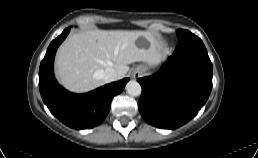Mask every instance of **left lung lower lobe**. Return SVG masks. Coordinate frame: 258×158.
<instances>
[{"instance_id":"left-lung-lower-lobe-1","label":"left lung lower lobe","mask_w":258,"mask_h":158,"mask_svg":"<svg viewBox=\"0 0 258 158\" xmlns=\"http://www.w3.org/2000/svg\"><path fill=\"white\" fill-rule=\"evenodd\" d=\"M139 111L144 120L163 129H176L191 120L212 89V63L200 38L181 41L162 71L139 78Z\"/></svg>"}]
</instances>
